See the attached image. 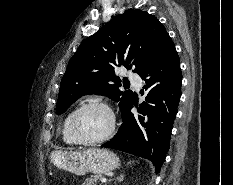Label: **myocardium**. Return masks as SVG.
<instances>
[{
	"label": "myocardium",
	"mask_w": 233,
	"mask_h": 185,
	"mask_svg": "<svg viewBox=\"0 0 233 185\" xmlns=\"http://www.w3.org/2000/svg\"><path fill=\"white\" fill-rule=\"evenodd\" d=\"M95 107L103 108L109 113L111 117V126L109 130L107 131V133L104 134L103 136L94 138V139H86V138H83L78 133L77 128H76V122H77L78 117L81 115V113H83L87 109L95 108ZM116 126H117L116 117H115V114L112 108L107 103L102 102V101H90L86 104L81 105L74 111L69 121V131H70L71 136L76 142H78L79 144H83V145H95V144H100V143L107 141L114 135Z\"/></svg>",
	"instance_id": "myocardium-1"
}]
</instances>
